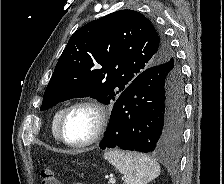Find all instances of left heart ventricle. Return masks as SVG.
<instances>
[{"instance_id": "b2bd125f", "label": "left heart ventricle", "mask_w": 224, "mask_h": 184, "mask_svg": "<svg viewBox=\"0 0 224 184\" xmlns=\"http://www.w3.org/2000/svg\"><path fill=\"white\" fill-rule=\"evenodd\" d=\"M97 121L98 117L93 109L76 108L70 112L65 121L64 135L73 143L86 141L93 135Z\"/></svg>"}]
</instances>
